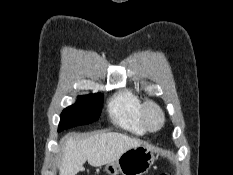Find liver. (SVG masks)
<instances>
[{"label": "liver", "instance_id": "1", "mask_svg": "<svg viewBox=\"0 0 233 175\" xmlns=\"http://www.w3.org/2000/svg\"><path fill=\"white\" fill-rule=\"evenodd\" d=\"M139 145V139L115 132L97 133L87 137L68 134L62 139L64 155L59 175H76L84 171L86 161L93 167L114 162L124 152Z\"/></svg>", "mask_w": 233, "mask_h": 175}]
</instances>
